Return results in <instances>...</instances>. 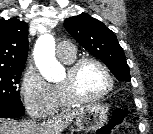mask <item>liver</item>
<instances>
[{"label":"liver","mask_w":153,"mask_h":134,"mask_svg":"<svg viewBox=\"0 0 153 134\" xmlns=\"http://www.w3.org/2000/svg\"><path fill=\"white\" fill-rule=\"evenodd\" d=\"M82 108L74 110H66L56 117L54 128L61 131L66 128L69 123L77 117ZM51 121L48 123H37L35 121L16 122L14 120L0 118V134H47L51 132Z\"/></svg>","instance_id":"liver-1"}]
</instances>
